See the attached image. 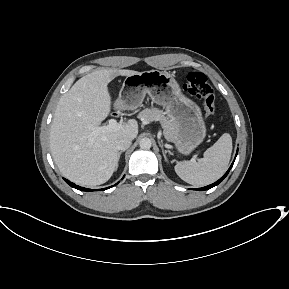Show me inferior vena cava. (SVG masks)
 <instances>
[{"label":"inferior vena cava","mask_w":289,"mask_h":289,"mask_svg":"<svg viewBox=\"0 0 289 289\" xmlns=\"http://www.w3.org/2000/svg\"><path fill=\"white\" fill-rule=\"evenodd\" d=\"M131 142H132V139L130 137L122 136L118 138L116 142V146L119 150H126L127 148L130 147Z\"/></svg>","instance_id":"inferior-vena-cava-1"}]
</instances>
